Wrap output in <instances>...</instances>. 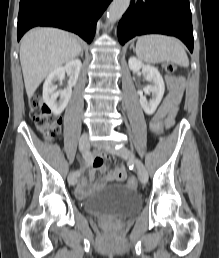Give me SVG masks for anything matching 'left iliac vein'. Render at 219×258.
Returning <instances> with one entry per match:
<instances>
[{"label":"left iliac vein","instance_id":"left-iliac-vein-1","mask_svg":"<svg viewBox=\"0 0 219 258\" xmlns=\"http://www.w3.org/2000/svg\"><path fill=\"white\" fill-rule=\"evenodd\" d=\"M109 152L118 156L130 159L136 166L140 182L145 184L148 180V173L144 164L128 148L120 147L118 149L110 148Z\"/></svg>","mask_w":219,"mask_h":258}]
</instances>
